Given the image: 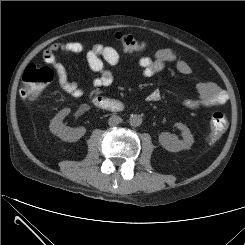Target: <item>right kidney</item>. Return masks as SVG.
<instances>
[{"label":"right kidney","mask_w":245,"mask_h":245,"mask_svg":"<svg viewBox=\"0 0 245 245\" xmlns=\"http://www.w3.org/2000/svg\"><path fill=\"white\" fill-rule=\"evenodd\" d=\"M70 113L69 108L61 110L50 122V131L63 141L76 142L85 135L84 127L71 128L63 124V119Z\"/></svg>","instance_id":"1"}]
</instances>
